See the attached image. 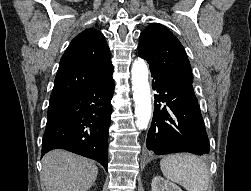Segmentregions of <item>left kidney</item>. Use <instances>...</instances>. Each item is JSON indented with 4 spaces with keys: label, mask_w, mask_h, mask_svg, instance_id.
Listing matches in <instances>:
<instances>
[{
    "label": "left kidney",
    "mask_w": 251,
    "mask_h": 191,
    "mask_svg": "<svg viewBox=\"0 0 251 191\" xmlns=\"http://www.w3.org/2000/svg\"><path fill=\"white\" fill-rule=\"evenodd\" d=\"M152 191H182L179 185L172 183V181H167L161 175H155L152 179Z\"/></svg>",
    "instance_id": "1"
}]
</instances>
